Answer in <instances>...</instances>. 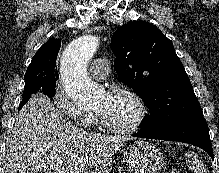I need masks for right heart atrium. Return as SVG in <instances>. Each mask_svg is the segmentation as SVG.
I'll return each instance as SVG.
<instances>
[{"mask_svg": "<svg viewBox=\"0 0 219 173\" xmlns=\"http://www.w3.org/2000/svg\"><path fill=\"white\" fill-rule=\"evenodd\" d=\"M53 103L60 112L72 119L79 126L92 128L96 125V114L81 108L60 85H57L54 89Z\"/></svg>", "mask_w": 219, "mask_h": 173, "instance_id": "1", "label": "right heart atrium"}]
</instances>
